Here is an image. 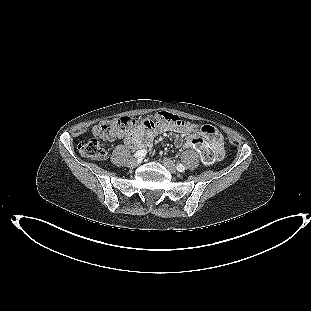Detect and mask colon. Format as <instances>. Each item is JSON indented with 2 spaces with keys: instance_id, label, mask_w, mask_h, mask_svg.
<instances>
[{
  "instance_id": "5ec220e1",
  "label": "colon",
  "mask_w": 311,
  "mask_h": 311,
  "mask_svg": "<svg viewBox=\"0 0 311 311\" xmlns=\"http://www.w3.org/2000/svg\"><path fill=\"white\" fill-rule=\"evenodd\" d=\"M155 119V122H148L144 120L139 121L131 116H122L103 120L93 128L92 135L89 136L85 142L80 144L79 152L86 158L93 160L100 159L106 155V142L127 136L140 125L155 123L157 125L171 124L182 127L190 126L189 122L166 111L157 112ZM191 143L198 147L200 156L206 163H212L215 159H220L224 155V150L222 149L219 152L220 156L217 157L215 149L207 145L202 136L193 137Z\"/></svg>"
}]
</instances>
